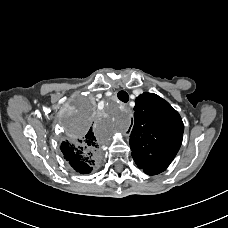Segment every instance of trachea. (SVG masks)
Returning a JSON list of instances; mask_svg holds the SVG:
<instances>
[{"instance_id": "obj_1", "label": "trachea", "mask_w": 228, "mask_h": 228, "mask_svg": "<svg viewBox=\"0 0 228 228\" xmlns=\"http://www.w3.org/2000/svg\"><path fill=\"white\" fill-rule=\"evenodd\" d=\"M117 96L118 99L124 103H127L129 100V96L125 91H119Z\"/></svg>"}]
</instances>
